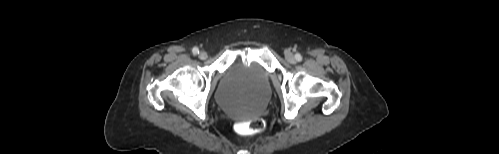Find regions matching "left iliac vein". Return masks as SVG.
Here are the masks:
<instances>
[{
  "label": "left iliac vein",
  "instance_id": "left-iliac-vein-1",
  "mask_svg": "<svg viewBox=\"0 0 499 154\" xmlns=\"http://www.w3.org/2000/svg\"><path fill=\"white\" fill-rule=\"evenodd\" d=\"M285 57H286V59H287L288 62H290V63H294L295 62V57H294V55L291 52H289V51L286 52L285 53Z\"/></svg>",
  "mask_w": 499,
  "mask_h": 154
}]
</instances>
